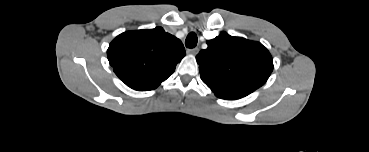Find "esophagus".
Here are the masks:
<instances>
[{"instance_id":"obj_1","label":"esophagus","mask_w":369,"mask_h":152,"mask_svg":"<svg viewBox=\"0 0 369 152\" xmlns=\"http://www.w3.org/2000/svg\"><path fill=\"white\" fill-rule=\"evenodd\" d=\"M198 52H199V48L198 47H195V48H192V49H188L187 50V53L188 54H191V55H196V54H198Z\"/></svg>"}]
</instances>
